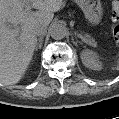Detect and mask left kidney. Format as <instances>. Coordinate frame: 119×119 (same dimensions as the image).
I'll return each instance as SVG.
<instances>
[{
	"label": "left kidney",
	"instance_id": "left-kidney-1",
	"mask_svg": "<svg viewBox=\"0 0 119 119\" xmlns=\"http://www.w3.org/2000/svg\"><path fill=\"white\" fill-rule=\"evenodd\" d=\"M81 60L83 64L92 70H101L102 64L98 60V55L96 52L91 50H83L81 52Z\"/></svg>",
	"mask_w": 119,
	"mask_h": 119
}]
</instances>
